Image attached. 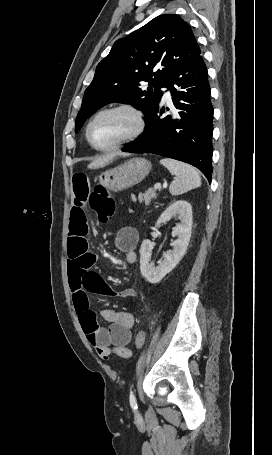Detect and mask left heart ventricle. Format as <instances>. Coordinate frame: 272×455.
<instances>
[{
    "mask_svg": "<svg viewBox=\"0 0 272 455\" xmlns=\"http://www.w3.org/2000/svg\"><path fill=\"white\" fill-rule=\"evenodd\" d=\"M134 128L132 116L111 112L100 116L91 128V139L97 147H108L128 135Z\"/></svg>",
    "mask_w": 272,
    "mask_h": 455,
    "instance_id": "1",
    "label": "left heart ventricle"
}]
</instances>
